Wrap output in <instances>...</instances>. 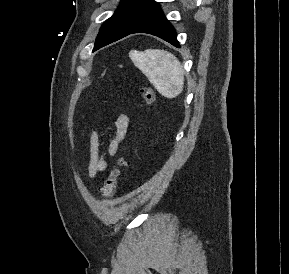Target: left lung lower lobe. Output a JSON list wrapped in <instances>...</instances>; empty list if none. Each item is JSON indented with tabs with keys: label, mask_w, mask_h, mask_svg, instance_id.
I'll return each mask as SVG.
<instances>
[{
	"label": "left lung lower lobe",
	"mask_w": 289,
	"mask_h": 274,
	"mask_svg": "<svg viewBox=\"0 0 289 274\" xmlns=\"http://www.w3.org/2000/svg\"><path fill=\"white\" fill-rule=\"evenodd\" d=\"M133 33L152 34V35H155L157 37L164 39L165 41L171 43L175 47L180 48V45L177 41L176 31L173 28V26L169 23V21L166 19V17L164 16L161 8L156 10L150 17H148L145 21H143L139 26H137L133 31H131L127 35L133 34ZM96 50H93V51H96Z\"/></svg>",
	"instance_id": "obj_1"
}]
</instances>
